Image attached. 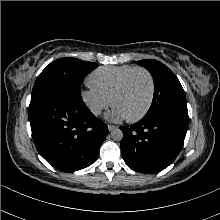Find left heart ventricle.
Returning <instances> with one entry per match:
<instances>
[{
  "label": "left heart ventricle",
  "instance_id": "1",
  "mask_svg": "<svg viewBox=\"0 0 220 220\" xmlns=\"http://www.w3.org/2000/svg\"><path fill=\"white\" fill-rule=\"evenodd\" d=\"M150 95V81L143 72L135 73L125 89L115 98L114 106L119 107L128 117H134L146 107Z\"/></svg>",
  "mask_w": 220,
  "mask_h": 220
}]
</instances>
